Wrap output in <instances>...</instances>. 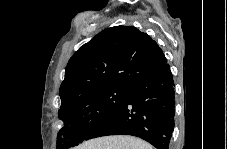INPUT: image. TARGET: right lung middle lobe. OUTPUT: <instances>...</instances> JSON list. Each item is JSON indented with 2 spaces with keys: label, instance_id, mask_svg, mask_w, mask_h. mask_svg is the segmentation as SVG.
<instances>
[{
  "label": "right lung middle lobe",
  "instance_id": "right-lung-middle-lobe-1",
  "mask_svg": "<svg viewBox=\"0 0 227 149\" xmlns=\"http://www.w3.org/2000/svg\"><path fill=\"white\" fill-rule=\"evenodd\" d=\"M128 88L122 85L104 86L60 109L58 116L64 126L57 135V149H67L86 140L95 128L123 105Z\"/></svg>",
  "mask_w": 227,
  "mask_h": 149
}]
</instances>
